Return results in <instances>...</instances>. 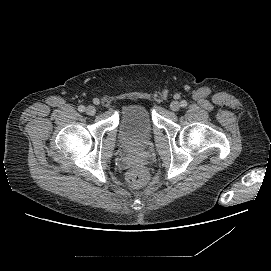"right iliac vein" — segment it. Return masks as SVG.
Segmentation results:
<instances>
[{"label": "right iliac vein", "instance_id": "63e3f726", "mask_svg": "<svg viewBox=\"0 0 271 271\" xmlns=\"http://www.w3.org/2000/svg\"><path fill=\"white\" fill-rule=\"evenodd\" d=\"M86 113H87L88 115H90V116L95 115V113H96L95 107H94V106H88V107L86 108Z\"/></svg>", "mask_w": 271, "mask_h": 271}]
</instances>
